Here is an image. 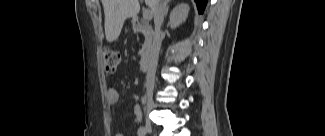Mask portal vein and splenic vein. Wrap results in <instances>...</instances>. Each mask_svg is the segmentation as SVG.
Segmentation results:
<instances>
[{
    "label": "portal vein and splenic vein",
    "instance_id": "obj_1",
    "mask_svg": "<svg viewBox=\"0 0 325 136\" xmlns=\"http://www.w3.org/2000/svg\"><path fill=\"white\" fill-rule=\"evenodd\" d=\"M143 19L144 20H151L152 19V12L149 10H144L143 11Z\"/></svg>",
    "mask_w": 325,
    "mask_h": 136
}]
</instances>
